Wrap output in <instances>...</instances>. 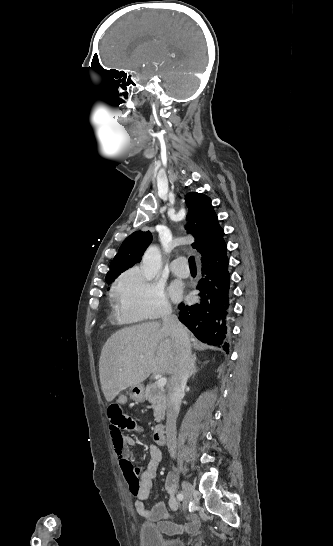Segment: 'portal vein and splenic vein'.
<instances>
[{
    "label": "portal vein and splenic vein",
    "instance_id": "18ae733b",
    "mask_svg": "<svg viewBox=\"0 0 333 546\" xmlns=\"http://www.w3.org/2000/svg\"><path fill=\"white\" fill-rule=\"evenodd\" d=\"M156 383H157V385H158L159 387H162V388H163V387L166 385V383H167V379H166V377H160V378L157 380Z\"/></svg>",
    "mask_w": 333,
    "mask_h": 546
}]
</instances>
